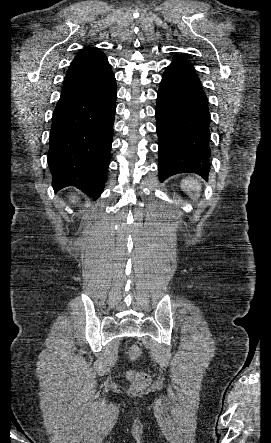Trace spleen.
<instances>
[{"label":"spleen","instance_id":"spleen-1","mask_svg":"<svg viewBox=\"0 0 271 443\" xmlns=\"http://www.w3.org/2000/svg\"><path fill=\"white\" fill-rule=\"evenodd\" d=\"M180 188L181 190H184V192H187L190 198H194V200H197L194 192H200L201 190L200 184H198L197 180H193V178H186V180H182Z\"/></svg>","mask_w":271,"mask_h":443}]
</instances>
